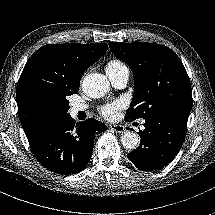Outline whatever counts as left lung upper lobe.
Here are the masks:
<instances>
[{
    "label": "left lung upper lobe",
    "instance_id": "left-lung-upper-lobe-1",
    "mask_svg": "<svg viewBox=\"0 0 215 215\" xmlns=\"http://www.w3.org/2000/svg\"><path fill=\"white\" fill-rule=\"evenodd\" d=\"M109 47L134 73V95L125 119L190 113L191 84L181 60L170 48L142 42H109Z\"/></svg>",
    "mask_w": 215,
    "mask_h": 215
}]
</instances>
